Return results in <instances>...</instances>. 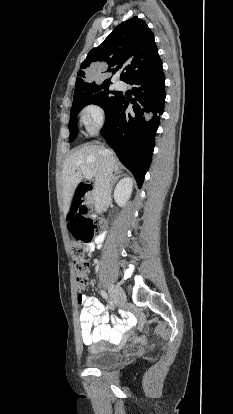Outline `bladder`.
<instances>
[{
    "label": "bladder",
    "mask_w": 233,
    "mask_h": 414,
    "mask_svg": "<svg viewBox=\"0 0 233 414\" xmlns=\"http://www.w3.org/2000/svg\"><path fill=\"white\" fill-rule=\"evenodd\" d=\"M120 354L115 351H99L89 354L85 357V364L89 368L105 369L110 368L118 363Z\"/></svg>",
    "instance_id": "bladder-1"
}]
</instances>
